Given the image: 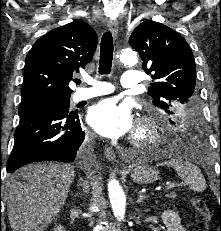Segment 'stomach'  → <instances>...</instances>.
Instances as JSON below:
<instances>
[{"instance_id":"1","label":"stomach","mask_w":221,"mask_h":231,"mask_svg":"<svg viewBox=\"0 0 221 231\" xmlns=\"http://www.w3.org/2000/svg\"><path fill=\"white\" fill-rule=\"evenodd\" d=\"M131 178L137 184H151L158 180V171L148 165H142L132 171Z\"/></svg>"}]
</instances>
